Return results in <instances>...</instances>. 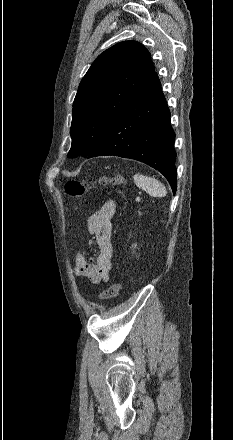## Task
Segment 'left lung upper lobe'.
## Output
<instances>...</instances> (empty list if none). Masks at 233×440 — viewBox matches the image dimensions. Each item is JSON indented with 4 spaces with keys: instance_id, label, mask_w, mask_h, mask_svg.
<instances>
[{
    "instance_id": "left-lung-upper-lobe-1",
    "label": "left lung upper lobe",
    "mask_w": 233,
    "mask_h": 440,
    "mask_svg": "<svg viewBox=\"0 0 233 440\" xmlns=\"http://www.w3.org/2000/svg\"><path fill=\"white\" fill-rule=\"evenodd\" d=\"M153 73L150 53L136 41L120 42L101 53L83 77L74 99L72 146L67 156L91 154Z\"/></svg>"
}]
</instances>
